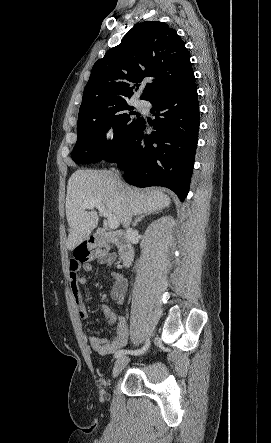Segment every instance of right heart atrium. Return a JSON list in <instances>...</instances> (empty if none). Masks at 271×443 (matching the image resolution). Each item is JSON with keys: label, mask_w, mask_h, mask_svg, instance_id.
Segmentation results:
<instances>
[{"label": "right heart atrium", "mask_w": 271, "mask_h": 443, "mask_svg": "<svg viewBox=\"0 0 271 443\" xmlns=\"http://www.w3.org/2000/svg\"><path fill=\"white\" fill-rule=\"evenodd\" d=\"M119 136V129L114 123L108 124L102 133V142L105 146L114 144Z\"/></svg>", "instance_id": "d8ad5b80"}]
</instances>
